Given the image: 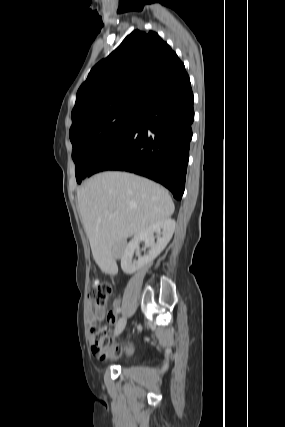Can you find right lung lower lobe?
I'll list each match as a JSON object with an SVG mask.
<instances>
[{
    "instance_id": "right-lung-lower-lobe-1",
    "label": "right lung lower lobe",
    "mask_w": 285,
    "mask_h": 427,
    "mask_svg": "<svg viewBox=\"0 0 285 427\" xmlns=\"http://www.w3.org/2000/svg\"><path fill=\"white\" fill-rule=\"evenodd\" d=\"M194 97L186 71L153 90L122 141L88 174L128 171L168 188L181 200L189 159Z\"/></svg>"
}]
</instances>
